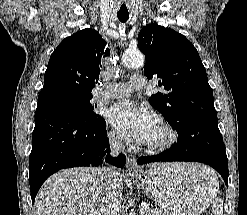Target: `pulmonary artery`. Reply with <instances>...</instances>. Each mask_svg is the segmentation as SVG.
Listing matches in <instances>:
<instances>
[{"label":"pulmonary artery","mask_w":247,"mask_h":215,"mask_svg":"<svg viewBox=\"0 0 247 215\" xmlns=\"http://www.w3.org/2000/svg\"><path fill=\"white\" fill-rule=\"evenodd\" d=\"M147 86L144 76H132L129 82L114 83L107 86L103 91V96L106 98H123L130 95L133 91H139Z\"/></svg>","instance_id":"pulmonary-artery-1"}]
</instances>
